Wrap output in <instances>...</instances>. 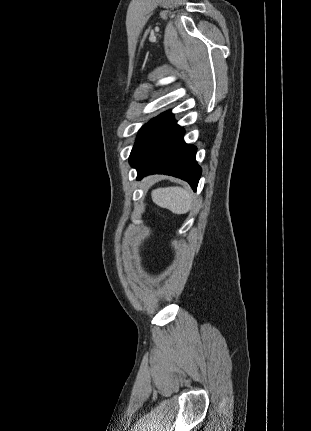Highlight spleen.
I'll use <instances>...</instances> for the list:
<instances>
[{"label": "spleen", "instance_id": "3e777b00", "mask_svg": "<svg viewBox=\"0 0 311 431\" xmlns=\"http://www.w3.org/2000/svg\"><path fill=\"white\" fill-rule=\"evenodd\" d=\"M152 200L160 208H168L173 214H187L191 210L194 196L189 188H158L152 190Z\"/></svg>", "mask_w": 311, "mask_h": 431}]
</instances>
